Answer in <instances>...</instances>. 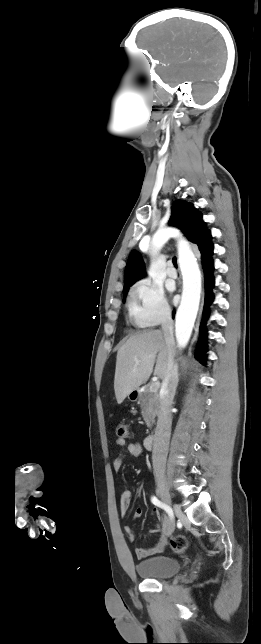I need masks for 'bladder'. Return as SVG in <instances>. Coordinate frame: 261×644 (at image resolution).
Wrapping results in <instances>:
<instances>
[{"label": "bladder", "instance_id": "bladder-1", "mask_svg": "<svg viewBox=\"0 0 261 644\" xmlns=\"http://www.w3.org/2000/svg\"><path fill=\"white\" fill-rule=\"evenodd\" d=\"M135 570L143 578L164 579L176 575L181 564L172 557L153 556L136 563Z\"/></svg>", "mask_w": 261, "mask_h": 644}]
</instances>
